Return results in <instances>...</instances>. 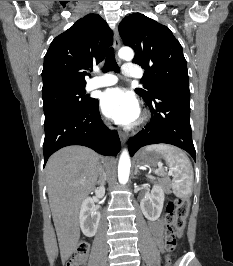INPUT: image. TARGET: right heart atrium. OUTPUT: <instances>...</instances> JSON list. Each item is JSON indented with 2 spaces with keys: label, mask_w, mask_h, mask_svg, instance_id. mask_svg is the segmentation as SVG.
Instances as JSON below:
<instances>
[{
  "label": "right heart atrium",
  "mask_w": 233,
  "mask_h": 266,
  "mask_svg": "<svg viewBox=\"0 0 233 266\" xmlns=\"http://www.w3.org/2000/svg\"><path fill=\"white\" fill-rule=\"evenodd\" d=\"M107 127H110V124L108 122L105 123Z\"/></svg>",
  "instance_id": "obj_1"
}]
</instances>
